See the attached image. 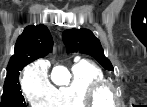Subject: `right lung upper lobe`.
<instances>
[{
    "mask_svg": "<svg viewBox=\"0 0 147 107\" xmlns=\"http://www.w3.org/2000/svg\"><path fill=\"white\" fill-rule=\"evenodd\" d=\"M52 46L53 40L46 26H27L16 41L15 54L7 66V76L18 72L23 64L45 57Z\"/></svg>",
    "mask_w": 147,
    "mask_h": 107,
    "instance_id": "1",
    "label": "right lung upper lobe"
}]
</instances>
